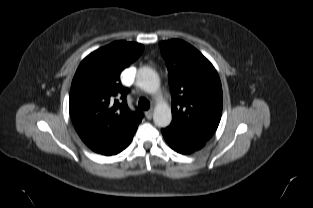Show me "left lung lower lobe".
Instances as JSON below:
<instances>
[{
	"label": "left lung lower lobe",
	"instance_id": "1",
	"mask_svg": "<svg viewBox=\"0 0 313 208\" xmlns=\"http://www.w3.org/2000/svg\"><path fill=\"white\" fill-rule=\"evenodd\" d=\"M162 134L170 147L181 154H190L201 149L205 144L186 141L162 129Z\"/></svg>",
	"mask_w": 313,
	"mask_h": 208
}]
</instances>
